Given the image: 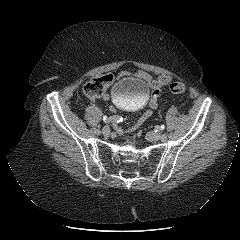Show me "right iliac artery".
I'll return each mask as SVG.
<instances>
[{"label": "right iliac artery", "instance_id": "obj_1", "mask_svg": "<svg viewBox=\"0 0 240 240\" xmlns=\"http://www.w3.org/2000/svg\"><path fill=\"white\" fill-rule=\"evenodd\" d=\"M123 120V118L122 117H120V116H113V117H111L110 119H109V121H112V122H115V123H119V122H121ZM108 121V119L106 120V121H104V122H107ZM102 123L103 125L105 124V123ZM103 126L101 125L99 128L101 129ZM100 129H95V134H100Z\"/></svg>", "mask_w": 240, "mask_h": 240}]
</instances>
